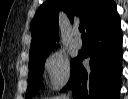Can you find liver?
Returning <instances> with one entry per match:
<instances>
[{"label": "liver", "mask_w": 128, "mask_h": 99, "mask_svg": "<svg viewBox=\"0 0 128 99\" xmlns=\"http://www.w3.org/2000/svg\"><path fill=\"white\" fill-rule=\"evenodd\" d=\"M54 99H64L63 97H57V98H54Z\"/></svg>", "instance_id": "6515ba94"}]
</instances>
